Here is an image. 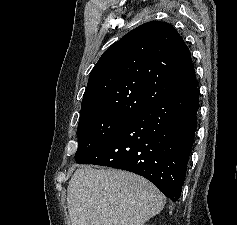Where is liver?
Listing matches in <instances>:
<instances>
[{"label":"liver","mask_w":237,"mask_h":225,"mask_svg":"<svg viewBox=\"0 0 237 225\" xmlns=\"http://www.w3.org/2000/svg\"><path fill=\"white\" fill-rule=\"evenodd\" d=\"M165 201L147 179L123 170L84 166L68 184L71 225H144Z\"/></svg>","instance_id":"liver-1"}]
</instances>
